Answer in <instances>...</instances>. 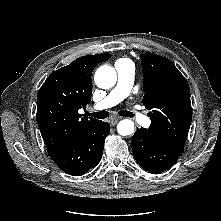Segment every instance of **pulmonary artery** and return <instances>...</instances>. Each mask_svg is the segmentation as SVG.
<instances>
[{
    "mask_svg": "<svg viewBox=\"0 0 221 221\" xmlns=\"http://www.w3.org/2000/svg\"><path fill=\"white\" fill-rule=\"evenodd\" d=\"M115 68L118 76L117 84L103 100L94 106L96 110H107L115 106L127 98L131 92L134 81V66L130 62L117 63ZM132 116L141 125L149 126L151 123L147 116L138 111H132Z\"/></svg>",
    "mask_w": 221,
    "mask_h": 221,
    "instance_id": "1",
    "label": "pulmonary artery"
}]
</instances>
